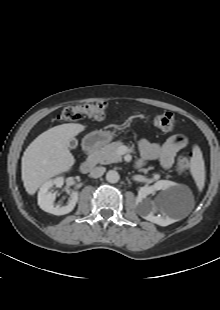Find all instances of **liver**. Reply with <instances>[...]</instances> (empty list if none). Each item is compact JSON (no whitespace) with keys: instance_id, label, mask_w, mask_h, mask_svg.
Listing matches in <instances>:
<instances>
[{"instance_id":"1","label":"liver","mask_w":220,"mask_h":310,"mask_svg":"<svg viewBox=\"0 0 220 310\" xmlns=\"http://www.w3.org/2000/svg\"><path fill=\"white\" fill-rule=\"evenodd\" d=\"M85 130L77 123L62 124L40 134L22 157V181L28 194L34 195L48 179L69 171L75 163L69 140Z\"/></svg>"}]
</instances>
